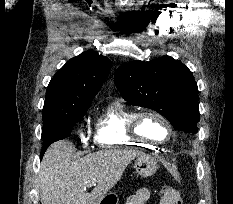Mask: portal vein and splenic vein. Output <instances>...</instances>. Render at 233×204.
<instances>
[{
	"mask_svg": "<svg viewBox=\"0 0 233 204\" xmlns=\"http://www.w3.org/2000/svg\"><path fill=\"white\" fill-rule=\"evenodd\" d=\"M96 184L94 183V182H92V183H89V187H92V186H95Z\"/></svg>",
	"mask_w": 233,
	"mask_h": 204,
	"instance_id": "portal-vein-and-splenic-vein-1",
	"label": "portal vein and splenic vein"
}]
</instances>
